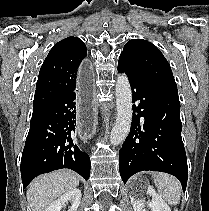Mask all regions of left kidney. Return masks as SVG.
I'll list each match as a JSON object with an SVG mask.
<instances>
[{
    "mask_svg": "<svg viewBox=\"0 0 209 211\" xmlns=\"http://www.w3.org/2000/svg\"><path fill=\"white\" fill-rule=\"evenodd\" d=\"M144 191L151 197V200H149L147 203H145V200L142 198L143 191L139 190L137 184L131 186L130 199L134 211H147L145 209L146 205L151 209V211H171L170 207L150 185L145 187Z\"/></svg>",
    "mask_w": 209,
    "mask_h": 211,
    "instance_id": "obj_1",
    "label": "left kidney"
}]
</instances>
